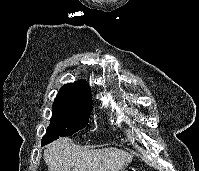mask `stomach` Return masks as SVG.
<instances>
[{"mask_svg": "<svg viewBox=\"0 0 199 171\" xmlns=\"http://www.w3.org/2000/svg\"><path fill=\"white\" fill-rule=\"evenodd\" d=\"M123 171H137V169L133 166L126 167Z\"/></svg>", "mask_w": 199, "mask_h": 171, "instance_id": "stomach-1", "label": "stomach"}]
</instances>
